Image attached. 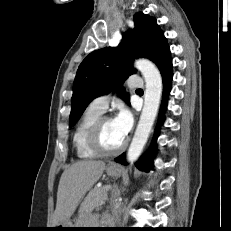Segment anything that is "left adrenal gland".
Masks as SVG:
<instances>
[{"label":"left adrenal gland","instance_id":"left-adrenal-gland-1","mask_svg":"<svg viewBox=\"0 0 231 231\" xmlns=\"http://www.w3.org/2000/svg\"><path fill=\"white\" fill-rule=\"evenodd\" d=\"M115 187V189H114V191H115V194H117L118 196L120 195V193H121V190L120 189H118V187L117 186H114ZM124 191V189L122 190V192Z\"/></svg>","mask_w":231,"mask_h":231}]
</instances>
